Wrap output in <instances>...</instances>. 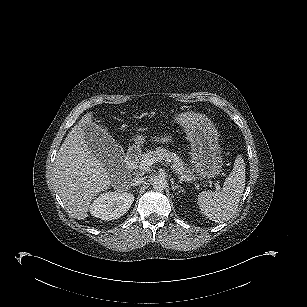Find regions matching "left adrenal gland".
I'll use <instances>...</instances> for the list:
<instances>
[{
	"instance_id": "1",
	"label": "left adrenal gland",
	"mask_w": 307,
	"mask_h": 307,
	"mask_svg": "<svg viewBox=\"0 0 307 307\" xmlns=\"http://www.w3.org/2000/svg\"><path fill=\"white\" fill-rule=\"evenodd\" d=\"M171 188H172V190H173V191H175V190H177V189H178L180 192H184L183 187H181V185L174 184V182H172V184H171Z\"/></svg>"
}]
</instances>
